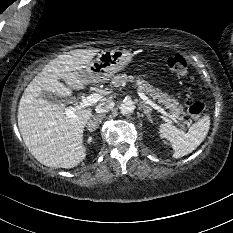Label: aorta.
Returning a JSON list of instances; mask_svg holds the SVG:
<instances>
[{
  "mask_svg": "<svg viewBox=\"0 0 233 233\" xmlns=\"http://www.w3.org/2000/svg\"><path fill=\"white\" fill-rule=\"evenodd\" d=\"M134 110H135V105H134V102L131 100H125L120 105V112L123 115H129L133 113Z\"/></svg>",
  "mask_w": 233,
  "mask_h": 233,
  "instance_id": "obj_1",
  "label": "aorta"
}]
</instances>
